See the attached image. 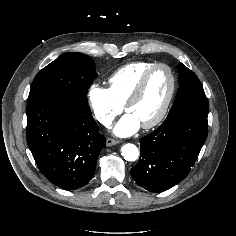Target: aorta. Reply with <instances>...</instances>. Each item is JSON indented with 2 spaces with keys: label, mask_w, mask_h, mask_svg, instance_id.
Instances as JSON below:
<instances>
[{
  "label": "aorta",
  "mask_w": 236,
  "mask_h": 236,
  "mask_svg": "<svg viewBox=\"0 0 236 236\" xmlns=\"http://www.w3.org/2000/svg\"><path fill=\"white\" fill-rule=\"evenodd\" d=\"M121 154L126 161H136L139 157L138 148L131 143L125 144L121 148Z\"/></svg>",
  "instance_id": "1"
}]
</instances>
